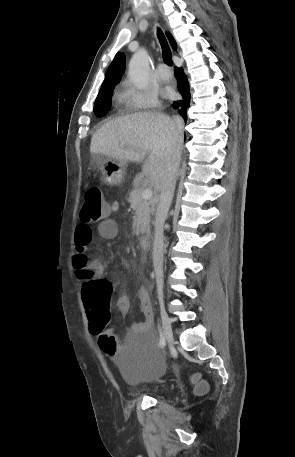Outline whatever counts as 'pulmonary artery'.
<instances>
[{
    "label": "pulmonary artery",
    "mask_w": 295,
    "mask_h": 457,
    "mask_svg": "<svg viewBox=\"0 0 295 457\" xmlns=\"http://www.w3.org/2000/svg\"><path fill=\"white\" fill-rule=\"evenodd\" d=\"M157 76L162 81H168L171 78V73L164 64H160L156 70Z\"/></svg>",
    "instance_id": "1"
}]
</instances>
